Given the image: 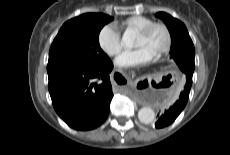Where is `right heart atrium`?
Instances as JSON below:
<instances>
[{
    "instance_id": "d8ad5b80",
    "label": "right heart atrium",
    "mask_w": 230,
    "mask_h": 155,
    "mask_svg": "<svg viewBox=\"0 0 230 155\" xmlns=\"http://www.w3.org/2000/svg\"><path fill=\"white\" fill-rule=\"evenodd\" d=\"M100 49L108 56L114 57L123 49L120 32L113 25L103 26L97 36Z\"/></svg>"
}]
</instances>
